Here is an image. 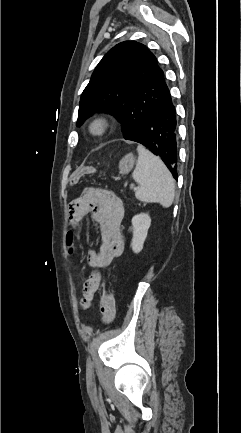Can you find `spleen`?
<instances>
[{"instance_id":"3e777b00","label":"spleen","mask_w":241,"mask_h":433,"mask_svg":"<svg viewBox=\"0 0 241 433\" xmlns=\"http://www.w3.org/2000/svg\"><path fill=\"white\" fill-rule=\"evenodd\" d=\"M138 160L133 179L140 185L135 197L141 202L159 203L169 208L175 196V182L162 160L145 147H137Z\"/></svg>"}]
</instances>
